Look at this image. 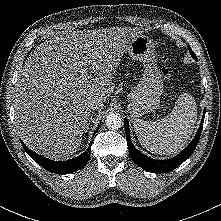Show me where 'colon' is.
<instances>
[{"label": "colon", "mask_w": 221, "mask_h": 221, "mask_svg": "<svg viewBox=\"0 0 221 221\" xmlns=\"http://www.w3.org/2000/svg\"><path fill=\"white\" fill-rule=\"evenodd\" d=\"M162 75L165 77V78H170V76H171V71H170V69L169 68H167V67H163L162 68Z\"/></svg>", "instance_id": "colon-1"}]
</instances>
